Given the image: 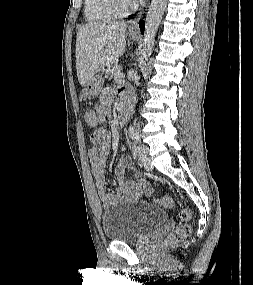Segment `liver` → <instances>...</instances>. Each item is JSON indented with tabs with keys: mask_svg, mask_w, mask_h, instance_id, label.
<instances>
[{
	"mask_svg": "<svg viewBox=\"0 0 253 285\" xmlns=\"http://www.w3.org/2000/svg\"><path fill=\"white\" fill-rule=\"evenodd\" d=\"M126 28V22H94L78 29L76 69L81 86L123 55Z\"/></svg>",
	"mask_w": 253,
	"mask_h": 285,
	"instance_id": "liver-1",
	"label": "liver"
}]
</instances>
